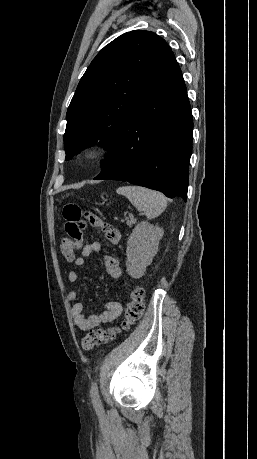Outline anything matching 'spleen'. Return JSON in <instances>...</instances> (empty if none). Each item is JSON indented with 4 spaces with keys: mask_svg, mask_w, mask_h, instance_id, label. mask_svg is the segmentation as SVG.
<instances>
[{
    "mask_svg": "<svg viewBox=\"0 0 257 459\" xmlns=\"http://www.w3.org/2000/svg\"><path fill=\"white\" fill-rule=\"evenodd\" d=\"M117 193L126 196L138 211L145 214L147 219L159 216L167 206L163 194L141 186H122L117 189Z\"/></svg>",
    "mask_w": 257,
    "mask_h": 459,
    "instance_id": "3e777b00",
    "label": "spleen"
}]
</instances>
